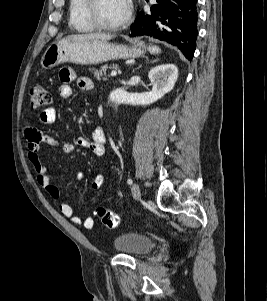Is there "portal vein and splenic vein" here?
Returning <instances> with one entry per match:
<instances>
[{"instance_id": "1", "label": "portal vein and splenic vein", "mask_w": 267, "mask_h": 301, "mask_svg": "<svg viewBox=\"0 0 267 301\" xmlns=\"http://www.w3.org/2000/svg\"><path fill=\"white\" fill-rule=\"evenodd\" d=\"M116 75H117V71H116V70H112V71H111V76H112V77H115Z\"/></svg>"}]
</instances>
